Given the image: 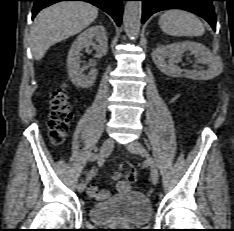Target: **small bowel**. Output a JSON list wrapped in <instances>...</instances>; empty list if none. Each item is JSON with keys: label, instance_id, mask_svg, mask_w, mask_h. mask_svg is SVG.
<instances>
[{"label": "small bowel", "instance_id": "obj_1", "mask_svg": "<svg viewBox=\"0 0 234 231\" xmlns=\"http://www.w3.org/2000/svg\"><path fill=\"white\" fill-rule=\"evenodd\" d=\"M116 190L119 193H127L130 191V184L126 181H119L117 183ZM88 194L96 201H102L109 195L108 191H99L96 185H89Z\"/></svg>", "mask_w": 234, "mask_h": 231}]
</instances>
